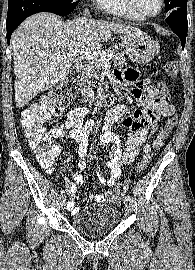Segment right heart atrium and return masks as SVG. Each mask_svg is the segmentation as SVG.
I'll return each instance as SVG.
<instances>
[{
  "instance_id": "d8ad5b80",
  "label": "right heart atrium",
  "mask_w": 195,
  "mask_h": 270,
  "mask_svg": "<svg viewBox=\"0 0 195 270\" xmlns=\"http://www.w3.org/2000/svg\"><path fill=\"white\" fill-rule=\"evenodd\" d=\"M93 2H95V3H97V4H99V2L101 1V0H92Z\"/></svg>"
}]
</instances>
